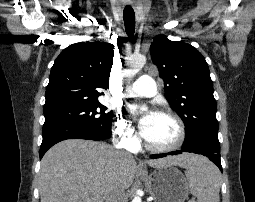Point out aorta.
<instances>
[{"mask_svg":"<svg viewBox=\"0 0 255 202\" xmlns=\"http://www.w3.org/2000/svg\"><path fill=\"white\" fill-rule=\"evenodd\" d=\"M146 64V57L144 55H134L130 57L127 61L128 69L126 71V76H134L140 69ZM141 111H147L145 106L141 107ZM132 202H142L141 197L136 195Z\"/></svg>","mask_w":255,"mask_h":202,"instance_id":"obj_1","label":"aorta"}]
</instances>
